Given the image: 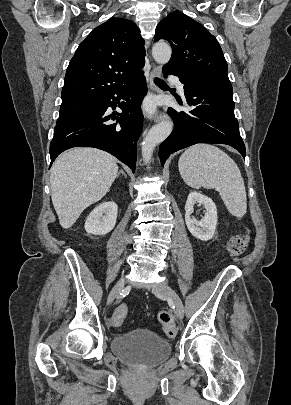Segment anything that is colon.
I'll return each mask as SVG.
<instances>
[{"instance_id": "colon-1", "label": "colon", "mask_w": 291, "mask_h": 405, "mask_svg": "<svg viewBox=\"0 0 291 405\" xmlns=\"http://www.w3.org/2000/svg\"><path fill=\"white\" fill-rule=\"evenodd\" d=\"M249 243L248 233L236 235L228 242V255L230 258H236L244 253ZM128 314V305L119 304L109 318V325L112 327L120 326ZM158 320L163 326V331L168 338H174L177 335V329L172 315L165 310L158 313Z\"/></svg>"}]
</instances>
